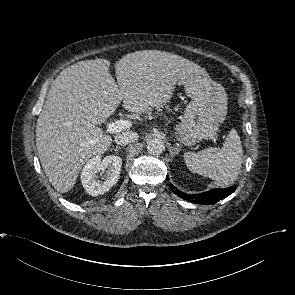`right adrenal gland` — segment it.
I'll use <instances>...</instances> for the list:
<instances>
[{
	"instance_id": "2a0ac1e0",
	"label": "right adrenal gland",
	"mask_w": 295,
	"mask_h": 295,
	"mask_svg": "<svg viewBox=\"0 0 295 295\" xmlns=\"http://www.w3.org/2000/svg\"><path fill=\"white\" fill-rule=\"evenodd\" d=\"M121 148H123V147H121V146H116V147H112L111 150L118 151V150H120Z\"/></svg>"
}]
</instances>
